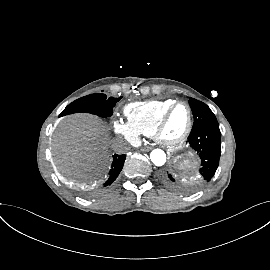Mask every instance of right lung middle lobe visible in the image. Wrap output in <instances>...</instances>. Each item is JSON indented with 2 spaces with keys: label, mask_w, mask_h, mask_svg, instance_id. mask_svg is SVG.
I'll return each instance as SVG.
<instances>
[{
  "label": "right lung middle lobe",
  "mask_w": 270,
  "mask_h": 270,
  "mask_svg": "<svg viewBox=\"0 0 270 270\" xmlns=\"http://www.w3.org/2000/svg\"><path fill=\"white\" fill-rule=\"evenodd\" d=\"M121 98L122 97H110L107 99L105 94H90L69 104L60 116L78 112H87L100 117H110L113 113V107Z\"/></svg>",
  "instance_id": "dd1d6c3e"
}]
</instances>
